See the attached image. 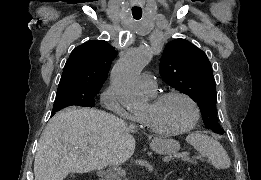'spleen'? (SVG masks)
<instances>
[{
    "label": "spleen",
    "mask_w": 261,
    "mask_h": 180,
    "mask_svg": "<svg viewBox=\"0 0 261 180\" xmlns=\"http://www.w3.org/2000/svg\"><path fill=\"white\" fill-rule=\"evenodd\" d=\"M186 142L194 146L195 150L205 156L217 170H225L231 166L230 158L223 146L205 134H190Z\"/></svg>",
    "instance_id": "3e777b00"
}]
</instances>
